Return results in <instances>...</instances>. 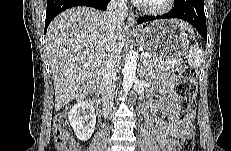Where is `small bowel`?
<instances>
[{
    "label": "small bowel",
    "mask_w": 231,
    "mask_h": 151,
    "mask_svg": "<svg viewBox=\"0 0 231 151\" xmlns=\"http://www.w3.org/2000/svg\"><path fill=\"white\" fill-rule=\"evenodd\" d=\"M176 82L175 75L163 76L154 84L150 98L144 106L152 136L162 151H176L179 139L195 132L193 118H180L178 97L174 91ZM154 92L159 96L154 97Z\"/></svg>",
    "instance_id": "obj_1"
}]
</instances>
